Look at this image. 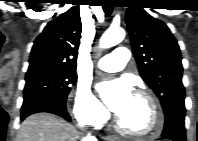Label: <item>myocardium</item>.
<instances>
[{"instance_id":"myocardium-1","label":"myocardium","mask_w":198,"mask_h":141,"mask_svg":"<svg viewBox=\"0 0 198 141\" xmlns=\"http://www.w3.org/2000/svg\"><path fill=\"white\" fill-rule=\"evenodd\" d=\"M134 94L147 100L148 104L150 105L152 127L145 132H137L131 130L122 124L118 115L115 117L116 126L123 133L133 137L146 138V137L155 136L159 132L162 125V117H161L159 104L157 100L154 98V96L151 95L146 90L137 89L135 90Z\"/></svg>"}]
</instances>
